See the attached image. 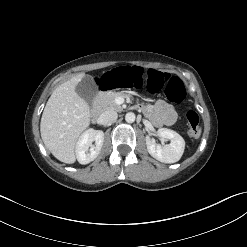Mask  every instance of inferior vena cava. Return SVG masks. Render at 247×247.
I'll return each mask as SVG.
<instances>
[{
    "mask_svg": "<svg viewBox=\"0 0 247 247\" xmlns=\"http://www.w3.org/2000/svg\"><path fill=\"white\" fill-rule=\"evenodd\" d=\"M117 112L106 110L100 115V122L104 125L111 124L117 119Z\"/></svg>",
    "mask_w": 247,
    "mask_h": 247,
    "instance_id": "inferior-vena-cava-1",
    "label": "inferior vena cava"
}]
</instances>
